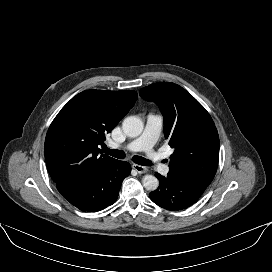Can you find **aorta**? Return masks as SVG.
Returning <instances> with one entry per match:
<instances>
[{"label": "aorta", "instance_id": "762f6f07", "mask_svg": "<svg viewBox=\"0 0 272 272\" xmlns=\"http://www.w3.org/2000/svg\"><path fill=\"white\" fill-rule=\"evenodd\" d=\"M144 124L142 120L136 116H129L124 119L122 128L129 137H137L143 131ZM143 186L148 191H154L159 186L158 179L153 175H145L142 179Z\"/></svg>", "mask_w": 272, "mask_h": 272}]
</instances>
